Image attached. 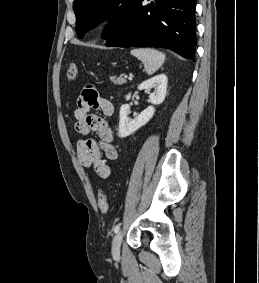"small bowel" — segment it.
Here are the masks:
<instances>
[{
    "mask_svg": "<svg viewBox=\"0 0 259 283\" xmlns=\"http://www.w3.org/2000/svg\"><path fill=\"white\" fill-rule=\"evenodd\" d=\"M91 109H99L105 116H111L114 107L112 102L102 97L92 85H86L77 98V108L74 111V129L81 136L95 132L97 138H81L77 141V158L82 166L92 168L95 173L108 179L112 175L109 160L118 158V151L113 144L114 133L108 121L91 113Z\"/></svg>",
    "mask_w": 259,
    "mask_h": 283,
    "instance_id": "c3829d8e",
    "label": "small bowel"
}]
</instances>
